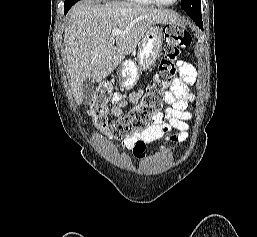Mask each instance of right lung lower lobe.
Segmentation results:
<instances>
[{"instance_id":"1","label":"right lung lower lobe","mask_w":257,"mask_h":237,"mask_svg":"<svg viewBox=\"0 0 257 237\" xmlns=\"http://www.w3.org/2000/svg\"><path fill=\"white\" fill-rule=\"evenodd\" d=\"M69 9H70V8H66V9H65V15L67 14V12H68Z\"/></svg>"}]
</instances>
